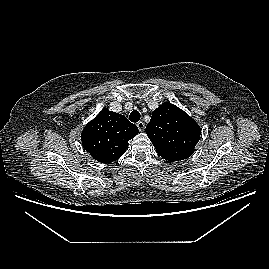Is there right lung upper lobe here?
<instances>
[{
    "label": "right lung upper lobe",
    "mask_w": 269,
    "mask_h": 269,
    "mask_svg": "<svg viewBox=\"0 0 269 269\" xmlns=\"http://www.w3.org/2000/svg\"><path fill=\"white\" fill-rule=\"evenodd\" d=\"M138 132V128L125 116L103 109L85 126L81 141L95 160L110 163L125 153L128 141Z\"/></svg>",
    "instance_id": "1"
}]
</instances>
